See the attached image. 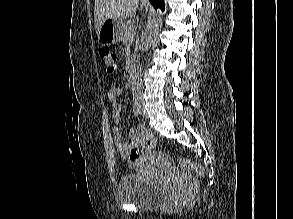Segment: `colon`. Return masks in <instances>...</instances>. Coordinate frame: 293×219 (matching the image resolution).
Here are the masks:
<instances>
[{
  "label": "colon",
  "mask_w": 293,
  "mask_h": 219,
  "mask_svg": "<svg viewBox=\"0 0 293 219\" xmlns=\"http://www.w3.org/2000/svg\"><path fill=\"white\" fill-rule=\"evenodd\" d=\"M101 54L104 62V67L107 73H113L117 67V55L108 49H104ZM156 144L157 140L155 135L151 131L146 130L144 133L143 142L139 146L131 149V151L129 152L128 157L130 163L132 165L138 163L145 155H147L156 147ZM179 164L182 168L193 171L197 173L199 176L204 175V170L200 165L193 163L187 159L181 158L179 160Z\"/></svg>",
  "instance_id": "obj_1"
}]
</instances>
